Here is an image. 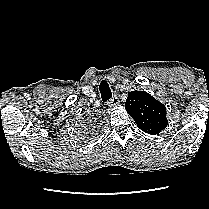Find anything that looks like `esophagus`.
<instances>
[{"label": "esophagus", "mask_w": 209, "mask_h": 209, "mask_svg": "<svg viewBox=\"0 0 209 209\" xmlns=\"http://www.w3.org/2000/svg\"><path fill=\"white\" fill-rule=\"evenodd\" d=\"M119 103H120V100H119V98L116 97V96L112 97V98L108 101V105H109L110 107L117 106V105H119Z\"/></svg>", "instance_id": "1"}]
</instances>
